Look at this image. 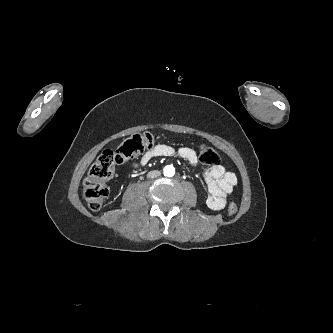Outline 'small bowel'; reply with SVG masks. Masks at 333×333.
I'll list each match as a JSON object with an SVG mask.
<instances>
[{
  "label": "small bowel",
  "instance_id": "1",
  "mask_svg": "<svg viewBox=\"0 0 333 333\" xmlns=\"http://www.w3.org/2000/svg\"><path fill=\"white\" fill-rule=\"evenodd\" d=\"M173 155L190 163H197V155L193 149L189 147L175 149L169 145L160 144L147 151L139 160L133 163V166L138 168L145 166L153 158ZM203 176L208 188L207 206L212 210L223 209L237 184L236 174L227 171L222 165L218 164L206 169Z\"/></svg>",
  "mask_w": 333,
  "mask_h": 333
}]
</instances>
